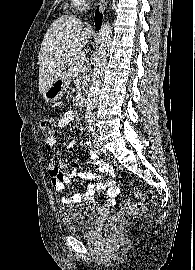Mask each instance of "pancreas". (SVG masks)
<instances>
[{
	"mask_svg": "<svg viewBox=\"0 0 195 270\" xmlns=\"http://www.w3.org/2000/svg\"><path fill=\"white\" fill-rule=\"evenodd\" d=\"M74 54H72V56L69 59L68 71L70 75L74 77L79 76L80 79L82 80V83L85 84L89 80V77H90L89 64L88 62H85L84 60L82 61L77 60Z\"/></svg>",
	"mask_w": 195,
	"mask_h": 270,
	"instance_id": "cf45deb5",
	"label": "pancreas"
}]
</instances>
